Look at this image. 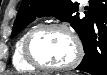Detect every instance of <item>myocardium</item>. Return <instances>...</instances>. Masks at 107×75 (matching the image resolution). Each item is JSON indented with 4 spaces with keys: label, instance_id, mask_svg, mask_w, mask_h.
<instances>
[{
    "label": "myocardium",
    "instance_id": "1",
    "mask_svg": "<svg viewBox=\"0 0 107 75\" xmlns=\"http://www.w3.org/2000/svg\"><path fill=\"white\" fill-rule=\"evenodd\" d=\"M59 30L67 34L73 41L75 48L74 58L64 65H49L41 62L32 51V44L35 38L46 31ZM23 55L25 60L33 67L45 71H64L74 68L81 61L83 56V47L78 36L66 25L61 23H46L33 28L26 36L23 44Z\"/></svg>",
    "mask_w": 107,
    "mask_h": 75
}]
</instances>
